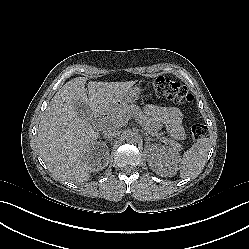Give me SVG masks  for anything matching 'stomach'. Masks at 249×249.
<instances>
[{"mask_svg":"<svg viewBox=\"0 0 249 249\" xmlns=\"http://www.w3.org/2000/svg\"><path fill=\"white\" fill-rule=\"evenodd\" d=\"M141 92H142L141 87H133L126 94L124 102H132L139 99Z\"/></svg>","mask_w":249,"mask_h":249,"instance_id":"obj_1","label":"stomach"}]
</instances>
